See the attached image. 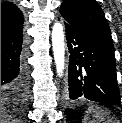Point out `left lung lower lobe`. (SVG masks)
Returning a JSON list of instances; mask_svg holds the SVG:
<instances>
[{"label": "left lung lower lobe", "instance_id": "1", "mask_svg": "<svg viewBox=\"0 0 122 123\" xmlns=\"http://www.w3.org/2000/svg\"><path fill=\"white\" fill-rule=\"evenodd\" d=\"M69 57L67 100L119 106L114 47L64 22Z\"/></svg>", "mask_w": 122, "mask_h": 123}]
</instances>
